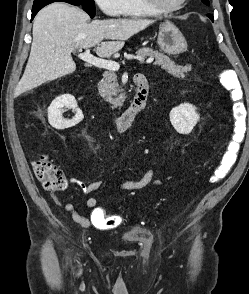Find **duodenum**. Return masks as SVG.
Listing matches in <instances>:
<instances>
[{"mask_svg": "<svg viewBox=\"0 0 249 294\" xmlns=\"http://www.w3.org/2000/svg\"><path fill=\"white\" fill-rule=\"evenodd\" d=\"M134 84L135 96L133 102L123 114L114 119V127L118 132L127 130L146 108L149 87L144 75L136 74L134 76Z\"/></svg>", "mask_w": 249, "mask_h": 294, "instance_id": "1", "label": "duodenum"}]
</instances>
